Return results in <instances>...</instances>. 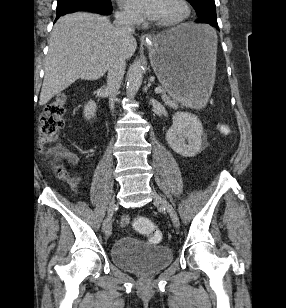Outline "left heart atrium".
Wrapping results in <instances>:
<instances>
[{
    "label": "left heart atrium",
    "instance_id": "39dd6f15",
    "mask_svg": "<svg viewBox=\"0 0 286 308\" xmlns=\"http://www.w3.org/2000/svg\"><path fill=\"white\" fill-rule=\"evenodd\" d=\"M120 3L135 18L156 19L160 0H120Z\"/></svg>",
    "mask_w": 286,
    "mask_h": 308
}]
</instances>
